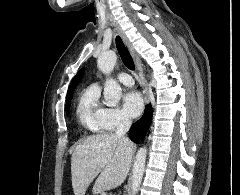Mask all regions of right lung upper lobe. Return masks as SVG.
<instances>
[{
    "mask_svg": "<svg viewBox=\"0 0 240 195\" xmlns=\"http://www.w3.org/2000/svg\"><path fill=\"white\" fill-rule=\"evenodd\" d=\"M84 75V69H81L80 71H78V73L76 74V76L73 78L69 88H68V93H67V99H66V105L68 103H70L71 97L73 95L74 89L76 88V86L78 85V83L80 82V80L82 79Z\"/></svg>",
    "mask_w": 240,
    "mask_h": 195,
    "instance_id": "obj_1",
    "label": "right lung upper lobe"
}]
</instances>
